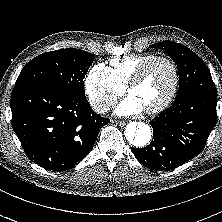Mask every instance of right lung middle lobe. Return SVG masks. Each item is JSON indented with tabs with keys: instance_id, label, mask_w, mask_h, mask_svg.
I'll list each match as a JSON object with an SVG mask.
<instances>
[{
	"instance_id": "obj_1",
	"label": "right lung middle lobe",
	"mask_w": 222,
	"mask_h": 222,
	"mask_svg": "<svg viewBox=\"0 0 222 222\" xmlns=\"http://www.w3.org/2000/svg\"><path fill=\"white\" fill-rule=\"evenodd\" d=\"M93 60L92 54L72 48L43 53L24 66L15 86L42 85L85 96L83 79Z\"/></svg>"
}]
</instances>
